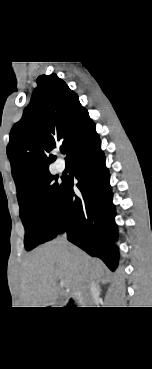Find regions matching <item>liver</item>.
Instances as JSON below:
<instances>
[{
    "label": "liver",
    "instance_id": "liver-1",
    "mask_svg": "<svg viewBox=\"0 0 152 369\" xmlns=\"http://www.w3.org/2000/svg\"><path fill=\"white\" fill-rule=\"evenodd\" d=\"M104 273L100 260L60 239L52 240L31 253L20 275L23 307H51L60 292L58 280L69 290L84 291L90 281Z\"/></svg>",
    "mask_w": 152,
    "mask_h": 369
}]
</instances>
